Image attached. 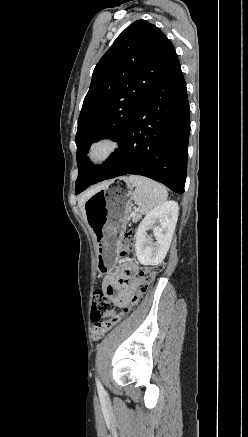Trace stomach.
Listing matches in <instances>:
<instances>
[{
    "label": "stomach",
    "instance_id": "1",
    "mask_svg": "<svg viewBox=\"0 0 248 437\" xmlns=\"http://www.w3.org/2000/svg\"><path fill=\"white\" fill-rule=\"evenodd\" d=\"M120 181L127 184V189L120 186ZM131 200L128 179L122 177L101 186L84 203L85 219L94 238L101 273L114 267L120 237L131 211Z\"/></svg>",
    "mask_w": 248,
    "mask_h": 437
}]
</instances>
